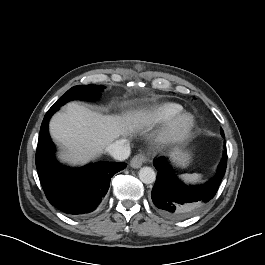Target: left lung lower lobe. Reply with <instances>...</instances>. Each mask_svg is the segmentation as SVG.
<instances>
[{
    "label": "left lung lower lobe",
    "instance_id": "obj_1",
    "mask_svg": "<svg viewBox=\"0 0 265 265\" xmlns=\"http://www.w3.org/2000/svg\"><path fill=\"white\" fill-rule=\"evenodd\" d=\"M222 135L224 137V133ZM154 166L158 174L151 197L157 210L169 219H186L201 212L216 195L227 167L226 146L224 144L223 158L217 174L203 185L184 184L165 157L157 158Z\"/></svg>",
    "mask_w": 265,
    "mask_h": 265
}]
</instances>
